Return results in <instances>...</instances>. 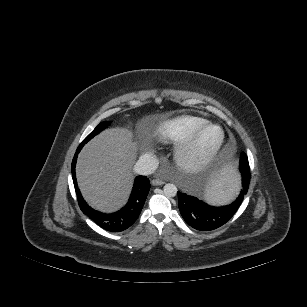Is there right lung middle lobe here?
Instances as JSON below:
<instances>
[{
    "label": "right lung middle lobe",
    "instance_id": "obj_1",
    "mask_svg": "<svg viewBox=\"0 0 307 307\" xmlns=\"http://www.w3.org/2000/svg\"><path fill=\"white\" fill-rule=\"evenodd\" d=\"M110 122H101L81 143L82 146H84L85 143H87L89 140H91L94 136H96L98 133H100L103 129H105Z\"/></svg>",
    "mask_w": 307,
    "mask_h": 307
}]
</instances>
